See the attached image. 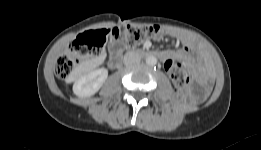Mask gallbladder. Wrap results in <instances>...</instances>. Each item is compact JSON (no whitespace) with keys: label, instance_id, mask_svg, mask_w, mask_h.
<instances>
[{"label":"gallbladder","instance_id":"obj_1","mask_svg":"<svg viewBox=\"0 0 261 150\" xmlns=\"http://www.w3.org/2000/svg\"><path fill=\"white\" fill-rule=\"evenodd\" d=\"M123 48V44L119 40H114L109 43V50L112 51L113 53L118 52Z\"/></svg>","mask_w":261,"mask_h":150}]
</instances>
